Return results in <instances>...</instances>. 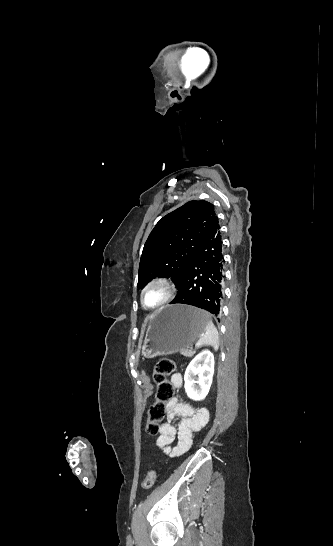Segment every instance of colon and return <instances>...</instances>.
Wrapping results in <instances>:
<instances>
[{
  "label": "colon",
  "mask_w": 333,
  "mask_h": 546,
  "mask_svg": "<svg viewBox=\"0 0 333 546\" xmlns=\"http://www.w3.org/2000/svg\"><path fill=\"white\" fill-rule=\"evenodd\" d=\"M176 364L171 359L159 360L153 369V380L157 386L156 401L151 405L148 413L146 430L149 435H156L159 432L160 424L165 418L166 404L173 399L175 387L168 379L174 374ZM157 480L155 470H150L144 480L142 487L150 489L154 486Z\"/></svg>",
  "instance_id": "5ec220e1"
}]
</instances>
